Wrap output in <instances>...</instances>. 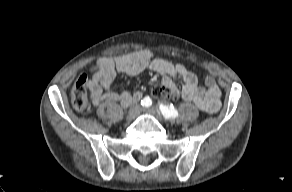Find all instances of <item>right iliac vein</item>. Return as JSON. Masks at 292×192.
I'll return each instance as SVG.
<instances>
[{
    "instance_id": "obj_1",
    "label": "right iliac vein",
    "mask_w": 292,
    "mask_h": 192,
    "mask_svg": "<svg viewBox=\"0 0 292 192\" xmlns=\"http://www.w3.org/2000/svg\"><path fill=\"white\" fill-rule=\"evenodd\" d=\"M140 110H141V108H140L139 105H137V104L132 105L130 107L129 111H128V114L126 116V119L127 120H133V119H135L139 115Z\"/></svg>"
}]
</instances>
